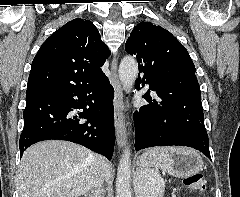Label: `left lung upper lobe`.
Masks as SVG:
<instances>
[{"instance_id":"5c2ea615","label":"left lung upper lobe","mask_w":240,"mask_h":197,"mask_svg":"<svg viewBox=\"0 0 240 197\" xmlns=\"http://www.w3.org/2000/svg\"><path fill=\"white\" fill-rule=\"evenodd\" d=\"M125 50L137 57L140 73H145L149 88L157 94L184 89L200 91L187 50L161 26L139 23L131 32Z\"/></svg>"}]
</instances>
